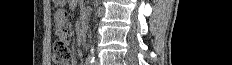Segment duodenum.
Segmentation results:
<instances>
[{"label": "duodenum", "instance_id": "duodenum-1", "mask_svg": "<svg viewBox=\"0 0 232 65\" xmlns=\"http://www.w3.org/2000/svg\"><path fill=\"white\" fill-rule=\"evenodd\" d=\"M86 39H87V29L85 26H82V28H81V41L83 43H85Z\"/></svg>", "mask_w": 232, "mask_h": 65}]
</instances>
